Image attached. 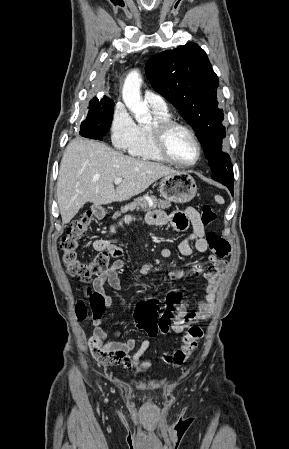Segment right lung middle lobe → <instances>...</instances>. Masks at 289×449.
<instances>
[{
  "label": "right lung middle lobe",
  "mask_w": 289,
  "mask_h": 449,
  "mask_svg": "<svg viewBox=\"0 0 289 449\" xmlns=\"http://www.w3.org/2000/svg\"><path fill=\"white\" fill-rule=\"evenodd\" d=\"M88 115L81 125L83 137L102 140L110 129L113 119L114 102L94 97L89 102Z\"/></svg>",
  "instance_id": "obj_1"
}]
</instances>
